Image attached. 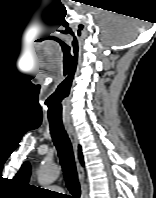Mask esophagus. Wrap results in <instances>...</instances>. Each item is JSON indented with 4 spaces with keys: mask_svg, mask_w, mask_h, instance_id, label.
<instances>
[{
    "mask_svg": "<svg viewBox=\"0 0 156 198\" xmlns=\"http://www.w3.org/2000/svg\"><path fill=\"white\" fill-rule=\"evenodd\" d=\"M64 127L67 131V134L70 138V141L72 143L74 153H75V159H76V166H77V172H78V177L81 185V198H87V188L85 184V173L84 169L79 161L78 158V140L77 136L75 134L74 128L70 123H64Z\"/></svg>",
    "mask_w": 156,
    "mask_h": 198,
    "instance_id": "34e87169",
    "label": "esophagus"
}]
</instances>
